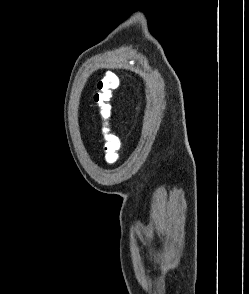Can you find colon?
<instances>
[{
  "label": "colon",
  "instance_id": "5ec220e1",
  "mask_svg": "<svg viewBox=\"0 0 249 294\" xmlns=\"http://www.w3.org/2000/svg\"><path fill=\"white\" fill-rule=\"evenodd\" d=\"M117 86L110 79L101 80L95 93L94 100L101 118V133L106 139V159L113 163L117 157L119 138L112 131V98Z\"/></svg>",
  "mask_w": 249,
  "mask_h": 294
}]
</instances>
